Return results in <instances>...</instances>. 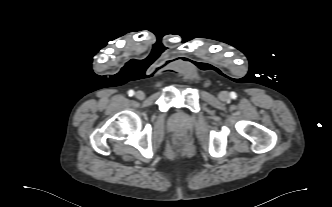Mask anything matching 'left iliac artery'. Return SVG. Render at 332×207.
Returning a JSON list of instances; mask_svg holds the SVG:
<instances>
[{"mask_svg": "<svg viewBox=\"0 0 332 207\" xmlns=\"http://www.w3.org/2000/svg\"><path fill=\"white\" fill-rule=\"evenodd\" d=\"M230 96H231L232 98H236V93H235V92H231V93H230Z\"/></svg>", "mask_w": 332, "mask_h": 207, "instance_id": "1", "label": "left iliac artery"}]
</instances>
